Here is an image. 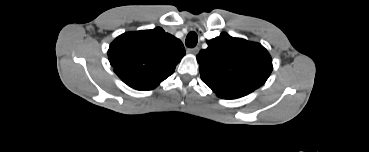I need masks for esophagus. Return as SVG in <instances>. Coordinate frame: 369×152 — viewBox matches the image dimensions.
Returning a JSON list of instances; mask_svg holds the SVG:
<instances>
[{
	"instance_id": "esophagus-1",
	"label": "esophagus",
	"mask_w": 369,
	"mask_h": 152,
	"mask_svg": "<svg viewBox=\"0 0 369 152\" xmlns=\"http://www.w3.org/2000/svg\"><path fill=\"white\" fill-rule=\"evenodd\" d=\"M199 50H200L199 47H194L187 49V52L196 55L199 52Z\"/></svg>"
}]
</instances>
